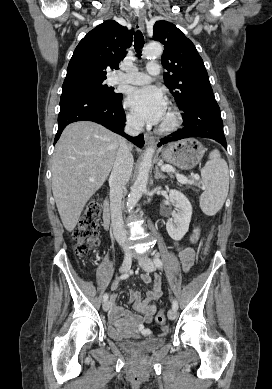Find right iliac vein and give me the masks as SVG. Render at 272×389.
<instances>
[{
  "mask_svg": "<svg viewBox=\"0 0 272 389\" xmlns=\"http://www.w3.org/2000/svg\"><path fill=\"white\" fill-rule=\"evenodd\" d=\"M132 257L133 255L131 253H126L125 254V257H124V260L121 264V267H120V271L122 273H126L130 270L131 268V264H132ZM110 308V303L109 301H104L103 303V310L104 311H108Z\"/></svg>",
  "mask_w": 272,
  "mask_h": 389,
  "instance_id": "obj_1",
  "label": "right iliac vein"
}]
</instances>
